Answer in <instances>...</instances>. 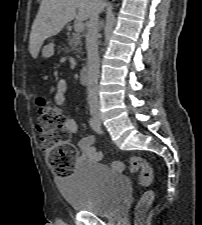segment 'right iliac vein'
<instances>
[{"label": "right iliac vein", "mask_w": 202, "mask_h": 225, "mask_svg": "<svg viewBox=\"0 0 202 225\" xmlns=\"http://www.w3.org/2000/svg\"><path fill=\"white\" fill-rule=\"evenodd\" d=\"M91 113H92L93 118H94L97 122H100V121H101V116H100L99 111H97V110H92Z\"/></svg>", "instance_id": "63e3f726"}]
</instances>
